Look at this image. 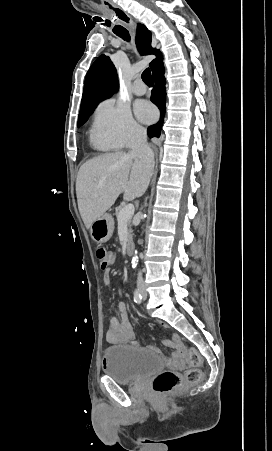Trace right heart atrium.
<instances>
[{
    "label": "right heart atrium",
    "instance_id": "d8ad5b80",
    "mask_svg": "<svg viewBox=\"0 0 272 451\" xmlns=\"http://www.w3.org/2000/svg\"><path fill=\"white\" fill-rule=\"evenodd\" d=\"M141 131L142 127L123 104L105 101L95 111L92 136L98 145L127 147Z\"/></svg>",
    "mask_w": 272,
    "mask_h": 451
}]
</instances>
